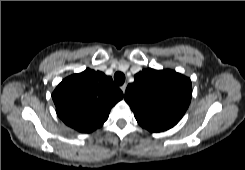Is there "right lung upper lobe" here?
<instances>
[{
    "label": "right lung upper lobe",
    "mask_w": 245,
    "mask_h": 170,
    "mask_svg": "<svg viewBox=\"0 0 245 170\" xmlns=\"http://www.w3.org/2000/svg\"><path fill=\"white\" fill-rule=\"evenodd\" d=\"M52 98L57 115L66 125L89 133L103 125L123 93L111 77L88 68L64 79Z\"/></svg>",
    "instance_id": "obj_1"
}]
</instances>
